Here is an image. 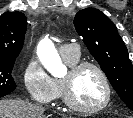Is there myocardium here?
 <instances>
[{"instance_id": "f54148a6", "label": "myocardium", "mask_w": 133, "mask_h": 118, "mask_svg": "<svg viewBox=\"0 0 133 118\" xmlns=\"http://www.w3.org/2000/svg\"><path fill=\"white\" fill-rule=\"evenodd\" d=\"M88 68L95 70L99 74L101 80L103 81L106 91V96L104 101L101 104L94 107H85L80 105L75 100L73 95L74 80L82 71ZM61 83H62V97L64 103L68 106V108H70L73 111L86 113V114L99 113L104 109H106L112 100V86L110 80L105 71L96 63L83 61L70 66V69L68 71V76L63 78L61 80Z\"/></svg>"}]
</instances>
